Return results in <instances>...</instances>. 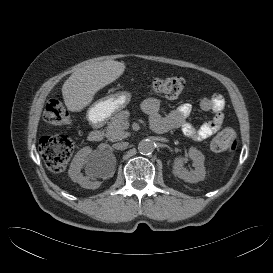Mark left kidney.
I'll return each instance as SVG.
<instances>
[{"mask_svg":"<svg viewBox=\"0 0 273 273\" xmlns=\"http://www.w3.org/2000/svg\"><path fill=\"white\" fill-rule=\"evenodd\" d=\"M189 158L193 160L194 170L188 171L183 167V158L176 157L174 160L173 172L174 174L183 179L185 182L196 183L205 179L206 171L204 167V155L196 148H190L188 152Z\"/></svg>","mask_w":273,"mask_h":273,"instance_id":"obj_1","label":"left kidney"}]
</instances>
